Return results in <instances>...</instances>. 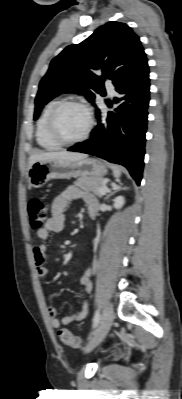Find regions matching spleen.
I'll use <instances>...</instances> for the list:
<instances>
[{
  "mask_svg": "<svg viewBox=\"0 0 182 399\" xmlns=\"http://www.w3.org/2000/svg\"><path fill=\"white\" fill-rule=\"evenodd\" d=\"M111 168L113 170V174L116 178L121 176V169L117 165H111Z\"/></svg>",
  "mask_w": 182,
  "mask_h": 399,
  "instance_id": "1",
  "label": "spleen"
}]
</instances>
